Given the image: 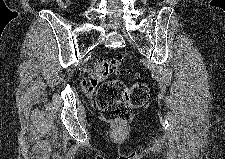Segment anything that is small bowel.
<instances>
[{
	"mask_svg": "<svg viewBox=\"0 0 225 159\" xmlns=\"http://www.w3.org/2000/svg\"><path fill=\"white\" fill-rule=\"evenodd\" d=\"M97 81L95 80L94 77L90 79H85L82 81V87L84 91L88 94H92L97 86Z\"/></svg>",
	"mask_w": 225,
	"mask_h": 159,
	"instance_id": "1",
	"label": "small bowel"
}]
</instances>
